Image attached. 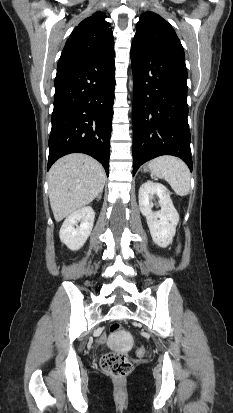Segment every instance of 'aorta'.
<instances>
[{"label": "aorta", "instance_id": "obj_1", "mask_svg": "<svg viewBox=\"0 0 233 413\" xmlns=\"http://www.w3.org/2000/svg\"><path fill=\"white\" fill-rule=\"evenodd\" d=\"M130 85L133 86V81H130Z\"/></svg>", "mask_w": 233, "mask_h": 413}]
</instances>
